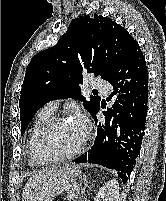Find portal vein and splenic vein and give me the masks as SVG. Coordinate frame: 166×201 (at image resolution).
<instances>
[{
    "mask_svg": "<svg viewBox=\"0 0 166 201\" xmlns=\"http://www.w3.org/2000/svg\"><path fill=\"white\" fill-rule=\"evenodd\" d=\"M65 190H66V191H69V190H70V187H65Z\"/></svg>",
    "mask_w": 166,
    "mask_h": 201,
    "instance_id": "obj_1",
    "label": "portal vein and splenic vein"
}]
</instances>
